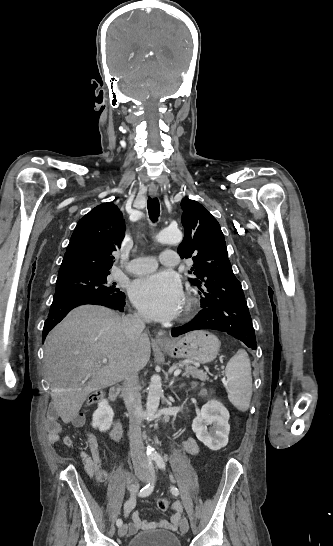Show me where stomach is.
Wrapping results in <instances>:
<instances>
[{
	"instance_id": "obj_1",
	"label": "stomach",
	"mask_w": 333,
	"mask_h": 546,
	"mask_svg": "<svg viewBox=\"0 0 333 546\" xmlns=\"http://www.w3.org/2000/svg\"><path fill=\"white\" fill-rule=\"evenodd\" d=\"M174 358H187L199 363L212 362L220 349L219 339L207 331H193L170 345L161 346Z\"/></svg>"
}]
</instances>
